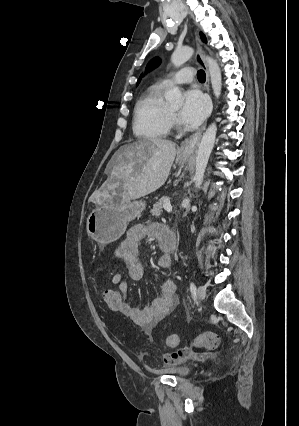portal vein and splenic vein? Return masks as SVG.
I'll return each mask as SVG.
<instances>
[{
  "label": "portal vein and splenic vein",
  "mask_w": 299,
  "mask_h": 426,
  "mask_svg": "<svg viewBox=\"0 0 299 426\" xmlns=\"http://www.w3.org/2000/svg\"><path fill=\"white\" fill-rule=\"evenodd\" d=\"M164 208H165V210H166V211H168V212L172 211V206H171L170 202H166V203L164 204Z\"/></svg>",
  "instance_id": "obj_1"
}]
</instances>
